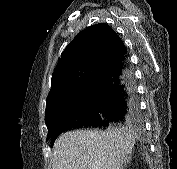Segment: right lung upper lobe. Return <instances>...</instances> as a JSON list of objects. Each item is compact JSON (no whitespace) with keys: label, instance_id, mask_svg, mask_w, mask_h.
<instances>
[{"label":"right lung upper lobe","instance_id":"right-lung-upper-lobe-1","mask_svg":"<svg viewBox=\"0 0 177 169\" xmlns=\"http://www.w3.org/2000/svg\"><path fill=\"white\" fill-rule=\"evenodd\" d=\"M124 52L123 41L105 23L81 31L67 45L52 74L46 106L67 98Z\"/></svg>","mask_w":177,"mask_h":169}]
</instances>
